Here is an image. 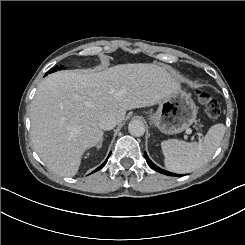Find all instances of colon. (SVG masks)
I'll return each mask as SVG.
<instances>
[{
	"label": "colon",
	"instance_id": "1",
	"mask_svg": "<svg viewBox=\"0 0 245 245\" xmlns=\"http://www.w3.org/2000/svg\"><path fill=\"white\" fill-rule=\"evenodd\" d=\"M198 99L204 105L206 114L211 119H217L221 113L219 103L207 92L198 91Z\"/></svg>",
	"mask_w": 245,
	"mask_h": 245
}]
</instances>
